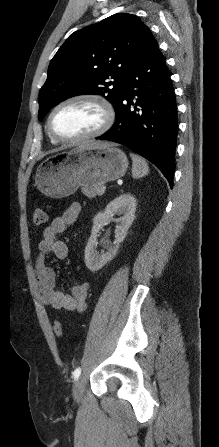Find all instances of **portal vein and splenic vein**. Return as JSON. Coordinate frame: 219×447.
Here are the masks:
<instances>
[{
    "mask_svg": "<svg viewBox=\"0 0 219 447\" xmlns=\"http://www.w3.org/2000/svg\"><path fill=\"white\" fill-rule=\"evenodd\" d=\"M102 191L104 192V191H105V188H103Z\"/></svg>",
    "mask_w": 219,
    "mask_h": 447,
    "instance_id": "18ae733b",
    "label": "portal vein and splenic vein"
}]
</instances>
